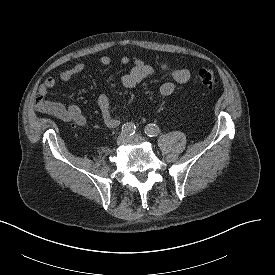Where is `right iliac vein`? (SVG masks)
I'll return each mask as SVG.
<instances>
[{
    "label": "right iliac vein",
    "instance_id": "obj_1",
    "mask_svg": "<svg viewBox=\"0 0 275 275\" xmlns=\"http://www.w3.org/2000/svg\"><path fill=\"white\" fill-rule=\"evenodd\" d=\"M130 136L127 135L126 133H121L117 139V144L118 145H125L128 142H130Z\"/></svg>",
    "mask_w": 275,
    "mask_h": 275
}]
</instances>
